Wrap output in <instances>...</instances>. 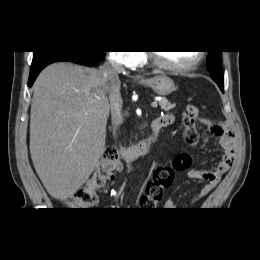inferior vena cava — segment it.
Returning a JSON list of instances; mask_svg holds the SVG:
<instances>
[{"instance_id":"1","label":"inferior vena cava","mask_w":260,"mask_h":260,"mask_svg":"<svg viewBox=\"0 0 260 260\" xmlns=\"http://www.w3.org/2000/svg\"><path fill=\"white\" fill-rule=\"evenodd\" d=\"M104 80L109 84V98L111 109V121L114 128L122 123L121 108L122 98L120 94L119 72L124 70L120 62H117L114 56L108 57V60L101 67Z\"/></svg>"}]
</instances>
